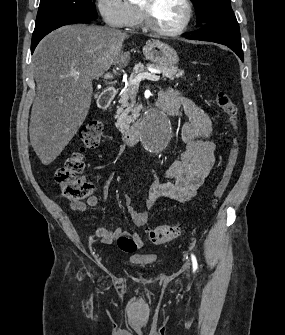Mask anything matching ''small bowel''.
<instances>
[{"label":"small bowel","mask_w":285,"mask_h":335,"mask_svg":"<svg viewBox=\"0 0 285 335\" xmlns=\"http://www.w3.org/2000/svg\"><path fill=\"white\" fill-rule=\"evenodd\" d=\"M159 99L171 101L177 111L179 109L185 110L189 121L182 124L180 135L186 144V149L166 169L167 182L160 183L154 173L150 176L144 210L135 209L132 206L131 198L125 196L127 211L137 227H143L148 223L150 211L160 199L165 198L178 202L192 199L204 185L215 163V145L210 140L212 122L209 115L187 96L174 90L162 91L159 94ZM111 180L112 174L108 176L103 188L101 197L103 201L108 197ZM97 203L98 198L92 196L87 199L86 203L77 200L71 201V208L77 213H84L87 206H95ZM122 234H125L122 227L114 230L98 227L95 230V235L103 244H111ZM132 237L138 247L143 245L141 234L135 232Z\"/></svg>","instance_id":"c3829d8e"}]
</instances>
